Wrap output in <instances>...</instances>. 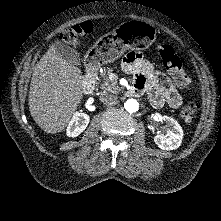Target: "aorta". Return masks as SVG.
<instances>
[{
  "instance_id": "aorta-1",
  "label": "aorta",
  "mask_w": 221,
  "mask_h": 221,
  "mask_svg": "<svg viewBox=\"0 0 221 221\" xmlns=\"http://www.w3.org/2000/svg\"><path fill=\"white\" fill-rule=\"evenodd\" d=\"M124 108L130 112V113H134L136 111H138L139 109V103L137 100L135 99H128L125 103H124Z\"/></svg>"
}]
</instances>
